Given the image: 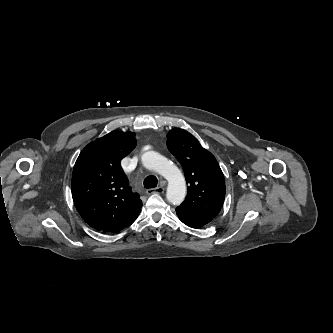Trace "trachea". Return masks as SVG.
I'll return each mask as SVG.
<instances>
[{"label": "trachea", "instance_id": "1", "mask_svg": "<svg viewBox=\"0 0 333 333\" xmlns=\"http://www.w3.org/2000/svg\"><path fill=\"white\" fill-rule=\"evenodd\" d=\"M158 180L155 176H148L144 180V187L145 188H154L157 186Z\"/></svg>", "mask_w": 333, "mask_h": 333}]
</instances>
